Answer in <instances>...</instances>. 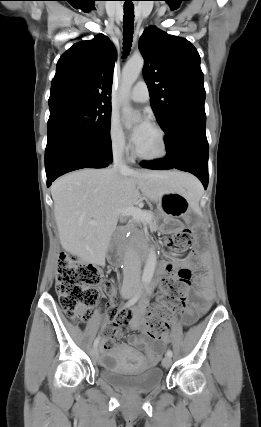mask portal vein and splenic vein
<instances>
[{"label":"portal vein and splenic vein","instance_id":"obj_1","mask_svg":"<svg viewBox=\"0 0 261 427\" xmlns=\"http://www.w3.org/2000/svg\"><path fill=\"white\" fill-rule=\"evenodd\" d=\"M118 216H132L136 220L140 221H148L150 219L149 214L147 211H144L140 208L136 207H127V208H121L117 211ZM90 224L96 225L97 223L95 221H91Z\"/></svg>","mask_w":261,"mask_h":427}]
</instances>
